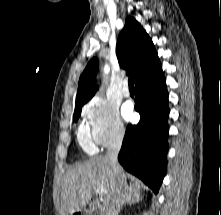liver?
Wrapping results in <instances>:
<instances>
[{"instance_id":"1","label":"liver","mask_w":221,"mask_h":215,"mask_svg":"<svg viewBox=\"0 0 221 215\" xmlns=\"http://www.w3.org/2000/svg\"><path fill=\"white\" fill-rule=\"evenodd\" d=\"M127 174L121 170L119 181L126 194L129 191L140 194V184L127 183ZM114 176L107 156L91 158L69 170L62 182L60 215L73 214L82 210L91 200L93 191L102 190L104 205L110 201L120 184Z\"/></svg>"}]
</instances>
